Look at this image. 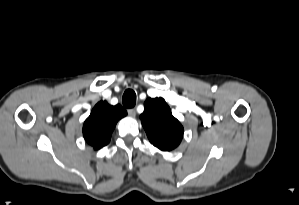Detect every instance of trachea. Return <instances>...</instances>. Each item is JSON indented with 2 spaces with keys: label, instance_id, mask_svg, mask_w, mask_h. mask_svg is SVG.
<instances>
[{
  "label": "trachea",
  "instance_id": "3493384b",
  "mask_svg": "<svg viewBox=\"0 0 299 205\" xmlns=\"http://www.w3.org/2000/svg\"><path fill=\"white\" fill-rule=\"evenodd\" d=\"M123 105L126 108H132L136 104V94L132 89H127L122 97Z\"/></svg>",
  "mask_w": 299,
  "mask_h": 205
}]
</instances>
